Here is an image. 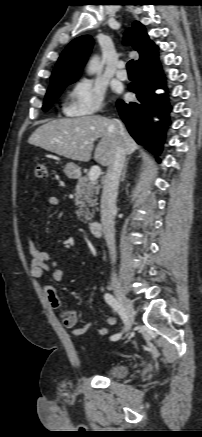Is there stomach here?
<instances>
[{
    "label": "stomach",
    "instance_id": "0dacf381",
    "mask_svg": "<svg viewBox=\"0 0 202 437\" xmlns=\"http://www.w3.org/2000/svg\"><path fill=\"white\" fill-rule=\"evenodd\" d=\"M64 173L68 178H77L81 173L80 167L74 163H67L64 167Z\"/></svg>",
    "mask_w": 202,
    "mask_h": 437
}]
</instances>
